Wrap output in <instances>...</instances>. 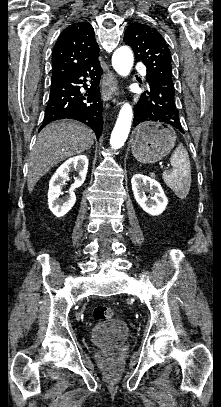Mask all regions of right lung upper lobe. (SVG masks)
<instances>
[{
    "instance_id": "cb5924a9",
    "label": "right lung upper lobe",
    "mask_w": 221,
    "mask_h": 407,
    "mask_svg": "<svg viewBox=\"0 0 221 407\" xmlns=\"http://www.w3.org/2000/svg\"><path fill=\"white\" fill-rule=\"evenodd\" d=\"M99 46L88 22L68 26L56 41L52 56V79L57 80L98 58Z\"/></svg>"
}]
</instances>
